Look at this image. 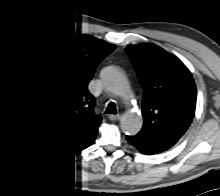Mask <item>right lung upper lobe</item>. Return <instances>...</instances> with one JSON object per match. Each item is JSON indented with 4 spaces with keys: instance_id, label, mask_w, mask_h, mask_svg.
Instances as JSON below:
<instances>
[{
    "instance_id": "1",
    "label": "right lung upper lobe",
    "mask_w": 220,
    "mask_h": 196,
    "mask_svg": "<svg viewBox=\"0 0 220 196\" xmlns=\"http://www.w3.org/2000/svg\"><path fill=\"white\" fill-rule=\"evenodd\" d=\"M115 46L89 35H77L52 48L39 72L34 96L42 129L63 148L85 145L101 122L87 84L98 63Z\"/></svg>"
}]
</instances>
